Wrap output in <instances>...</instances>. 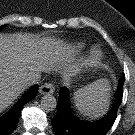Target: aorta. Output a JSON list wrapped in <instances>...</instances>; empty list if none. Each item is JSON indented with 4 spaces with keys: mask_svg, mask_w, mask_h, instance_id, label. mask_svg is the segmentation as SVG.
<instances>
[{
    "mask_svg": "<svg viewBox=\"0 0 135 135\" xmlns=\"http://www.w3.org/2000/svg\"><path fill=\"white\" fill-rule=\"evenodd\" d=\"M57 106L56 98L51 94H46L41 99V107L46 111H53Z\"/></svg>",
    "mask_w": 135,
    "mask_h": 135,
    "instance_id": "762f6f07",
    "label": "aorta"
}]
</instances>
